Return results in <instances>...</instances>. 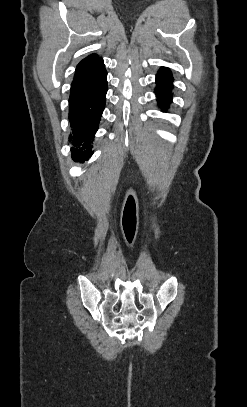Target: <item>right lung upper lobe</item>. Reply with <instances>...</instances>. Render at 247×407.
I'll list each match as a JSON object with an SVG mask.
<instances>
[{"instance_id":"obj_1","label":"right lung upper lobe","mask_w":247,"mask_h":407,"mask_svg":"<svg viewBox=\"0 0 247 407\" xmlns=\"http://www.w3.org/2000/svg\"><path fill=\"white\" fill-rule=\"evenodd\" d=\"M97 58H98V55H97V54H91V55L87 56L85 59H83V60L77 65V68H79V67H81V66H83V65H85V64H87V63H89V62H91V61H93V60H95V59H97Z\"/></svg>"}]
</instances>
